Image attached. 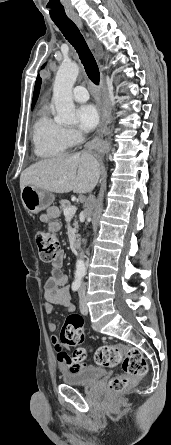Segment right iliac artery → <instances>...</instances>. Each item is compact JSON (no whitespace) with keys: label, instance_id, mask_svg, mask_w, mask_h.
<instances>
[{"label":"right iliac artery","instance_id":"obj_1","mask_svg":"<svg viewBox=\"0 0 171 445\" xmlns=\"http://www.w3.org/2000/svg\"><path fill=\"white\" fill-rule=\"evenodd\" d=\"M79 289V285L78 284H73L72 285V290L75 292Z\"/></svg>","mask_w":171,"mask_h":445}]
</instances>
